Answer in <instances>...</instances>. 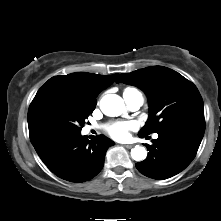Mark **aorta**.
<instances>
[{"label": "aorta", "instance_id": "aorta-1", "mask_svg": "<svg viewBox=\"0 0 221 221\" xmlns=\"http://www.w3.org/2000/svg\"><path fill=\"white\" fill-rule=\"evenodd\" d=\"M123 99L116 94H107L100 101V109L107 116H118L124 110ZM147 156V151L142 146H135L131 150V157L135 161H143Z\"/></svg>", "mask_w": 221, "mask_h": 221}]
</instances>
